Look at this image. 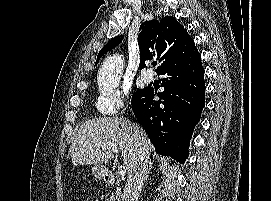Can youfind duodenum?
Returning <instances> with one entry per match:
<instances>
[{"mask_svg": "<svg viewBox=\"0 0 271 201\" xmlns=\"http://www.w3.org/2000/svg\"><path fill=\"white\" fill-rule=\"evenodd\" d=\"M102 178H103V181L108 185H114L116 183L114 174L111 171H108V170L105 171L103 173Z\"/></svg>", "mask_w": 271, "mask_h": 201, "instance_id": "410a0bca", "label": "duodenum"}]
</instances>
